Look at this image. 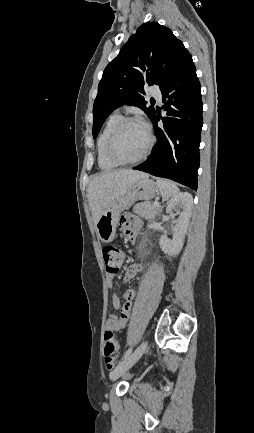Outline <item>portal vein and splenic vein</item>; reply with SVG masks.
Listing matches in <instances>:
<instances>
[{"mask_svg": "<svg viewBox=\"0 0 254 433\" xmlns=\"http://www.w3.org/2000/svg\"><path fill=\"white\" fill-rule=\"evenodd\" d=\"M154 205H155V206H159V202L155 201V202H154Z\"/></svg>", "mask_w": 254, "mask_h": 433, "instance_id": "obj_1", "label": "portal vein and splenic vein"}]
</instances>
